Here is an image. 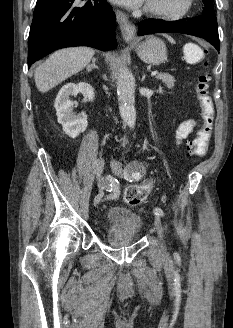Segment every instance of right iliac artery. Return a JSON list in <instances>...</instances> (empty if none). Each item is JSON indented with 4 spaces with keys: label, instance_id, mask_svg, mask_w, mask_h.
I'll return each mask as SVG.
<instances>
[{
    "label": "right iliac artery",
    "instance_id": "obj_1",
    "mask_svg": "<svg viewBox=\"0 0 233 328\" xmlns=\"http://www.w3.org/2000/svg\"><path fill=\"white\" fill-rule=\"evenodd\" d=\"M106 190L110 192V194L107 196L108 199L114 200L116 199L119 194V183L117 180H114L112 178H108V184L106 185Z\"/></svg>",
    "mask_w": 233,
    "mask_h": 328
}]
</instances>
